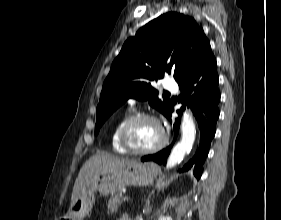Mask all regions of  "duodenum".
I'll return each mask as SVG.
<instances>
[{
    "label": "duodenum",
    "instance_id": "410a0bca",
    "mask_svg": "<svg viewBox=\"0 0 281 220\" xmlns=\"http://www.w3.org/2000/svg\"><path fill=\"white\" fill-rule=\"evenodd\" d=\"M122 220H131V219H129V218H125V219H122Z\"/></svg>",
    "mask_w": 281,
    "mask_h": 220
}]
</instances>
